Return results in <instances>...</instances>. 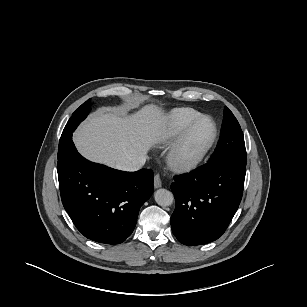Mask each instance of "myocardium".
Segmentation results:
<instances>
[{"mask_svg": "<svg viewBox=\"0 0 307 307\" xmlns=\"http://www.w3.org/2000/svg\"><path fill=\"white\" fill-rule=\"evenodd\" d=\"M202 120H209L211 121L214 131L211 140L205 146V148L196 156L189 158V159H182L180 158V152L187 141L190 133L194 129V127ZM218 137V126L215 120L208 116V115H201L191 121L184 130L179 134L176 138L172 146L170 147L167 153V163L171 169L178 171V172H186L196 168L208 155L212 147L214 146Z\"/></svg>", "mask_w": 307, "mask_h": 307, "instance_id": "myocardium-1", "label": "myocardium"}]
</instances>
